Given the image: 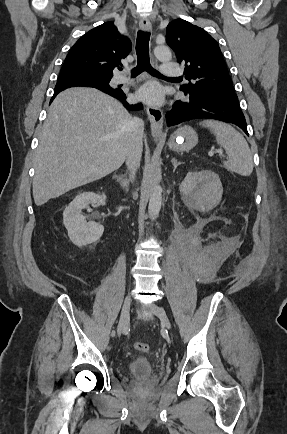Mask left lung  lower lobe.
Listing matches in <instances>:
<instances>
[{
    "mask_svg": "<svg viewBox=\"0 0 287 434\" xmlns=\"http://www.w3.org/2000/svg\"><path fill=\"white\" fill-rule=\"evenodd\" d=\"M200 118L233 123L248 135L245 117L240 110L238 98L192 92L187 94L184 100L176 101L171 111L166 114L168 127Z\"/></svg>",
    "mask_w": 287,
    "mask_h": 434,
    "instance_id": "0a47b994",
    "label": "left lung lower lobe"
}]
</instances>
